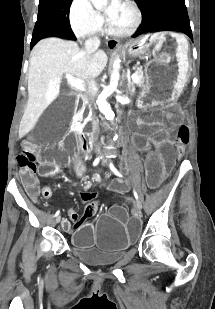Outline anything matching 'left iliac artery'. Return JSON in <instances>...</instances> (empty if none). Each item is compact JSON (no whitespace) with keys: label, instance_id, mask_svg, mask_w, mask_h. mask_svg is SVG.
<instances>
[{"label":"left iliac artery","instance_id":"1","mask_svg":"<svg viewBox=\"0 0 215 309\" xmlns=\"http://www.w3.org/2000/svg\"><path fill=\"white\" fill-rule=\"evenodd\" d=\"M110 169H111V171H112L115 175H117V176H119V177L122 176L121 173H120L119 171H117V169L114 167V165H113L112 163H110ZM133 193H134V196H135V198H136L138 204H140V206H141V208H142V204H141V202L139 201V196H138V194H137V192H136L135 189H133Z\"/></svg>","mask_w":215,"mask_h":309}]
</instances>
